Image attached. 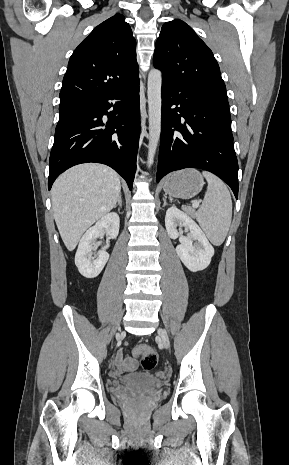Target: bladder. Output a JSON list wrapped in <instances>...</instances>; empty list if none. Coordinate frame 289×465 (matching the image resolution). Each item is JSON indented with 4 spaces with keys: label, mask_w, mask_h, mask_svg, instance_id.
<instances>
[{
    "label": "bladder",
    "mask_w": 289,
    "mask_h": 465,
    "mask_svg": "<svg viewBox=\"0 0 289 465\" xmlns=\"http://www.w3.org/2000/svg\"><path fill=\"white\" fill-rule=\"evenodd\" d=\"M123 384H131L137 385L142 388L152 390V391H160L163 389V383L159 379L151 375H145L140 373H134L125 376L122 379Z\"/></svg>",
    "instance_id": "1"
}]
</instances>
